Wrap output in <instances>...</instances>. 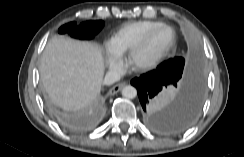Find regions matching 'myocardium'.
Masks as SVG:
<instances>
[{"label": "myocardium", "instance_id": "obj_1", "mask_svg": "<svg viewBox=\"0 0 244 157\" xmlns=\"http://www.w3.org/2000/svg\"><path fill=\"white\" fill-rule=\"evenodd\" d=\"M162 28H168V29L172 30V32H173V38H172L171 42L161 52H159L153 59H151L150 61H147V62H139L138 61V55H139V53L145 47V45L147 44V42L149 41V39L151 38V36L155 32H157L158 30H160ZM175 42H176V32H175V29L171 25H169V24H165V23L159 24L158 26H156L153 29H151L142 38V40L137 45H135L128 52V55H127V63H128V65L132 69H134L136 71H147L149 69H152L170 51V49L174 46Z\"/></svg>", "mask_w": 244, "mask_h": 157}]
</instances>
